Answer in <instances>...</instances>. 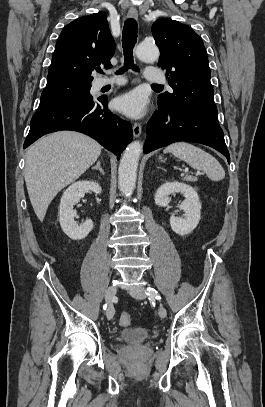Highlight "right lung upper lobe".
<instances>
[{
    "mask_svg": "<svg viewBox=\"0 0 265 407\" xmlns=\"http://www.w3.org/2000/svg\"><path fill=\"white\" fill-rule=\"evenodd\" d=\"M115 42L104 12L80 17L69 23L57 40L47 82L76 81L91 83L92 70L110 68Z\"/></svg>",
    "mask_w": 265,
    "mask_h": 407,
    "instance_id": "1",
    "label": "right lung upper lobe"
}]
</instances>
